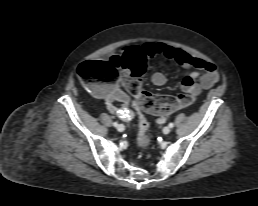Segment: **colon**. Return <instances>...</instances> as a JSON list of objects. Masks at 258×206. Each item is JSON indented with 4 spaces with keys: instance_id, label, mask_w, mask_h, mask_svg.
Segmentation results:
<instances>
[{
    "instance_id": "obj_1",
    "label": "colon",
    "mask_w": 258,
    "mask_h": 206,
    "mask_svg": "<svg viewBox=\"0 0 258 206\" xmlns=\"http://www.w3.org/2000/svg\"><path fill=\"white\" fill-rule=\"evenodd\" d=\"M145 70L146 57L138 53L124 60L121 74L118 71V65L109 61L83 62L77 72L80 81L92 90H98L103 84L114 83L121 78L138 107L160 116L186 108L195 101V96L189 93L177 96H158L145 91L142 84ZM148 128L146 118L138 115L137 142L139 148L143 150L147 149L150 143Z\"/></svg>"
}]
</instances>
